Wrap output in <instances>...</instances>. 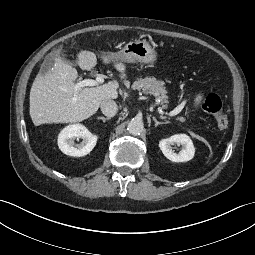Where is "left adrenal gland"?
Wrapping results in <instances>:
<instances>
[{"mask_svg":"<svg viewBox=\"0 0 255 255\" xmlns=\"http://www.w3.org/2000/svg\"><path fill=\"white\" fill-rule=\"evenodd\" d=\"M152 119L155 122V127H157L160 124H168V123H170L169 121L159 122V121H157V119L154 116L152 117Z\"/></svg>","mask_w":255,"mask_h":255,"instance_id":"left-adrenal-gland-1","label":"left adrenal gland"}]
</instances>
